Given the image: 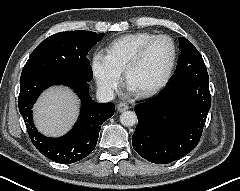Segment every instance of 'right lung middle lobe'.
I'll return each mask as SVG.
<instances>
[{
  "mask_svg": "<svg viewBox=\"0 0 240 191\" xmlns=\"http://www.w3.org/2000/svg\"><path fill=\"white\" fill-rule=\"evenodd\" d=\"M103 36L104 33L84 30L54 34L34 49L22 74L58 71L89 82L93 73L86 56Z\"/></svg>",
  "mask_w": 240,
  "mask_h": 191,
  "instance_id": "1",
  "label": "right lung middle lobe"
}]
</instances>
